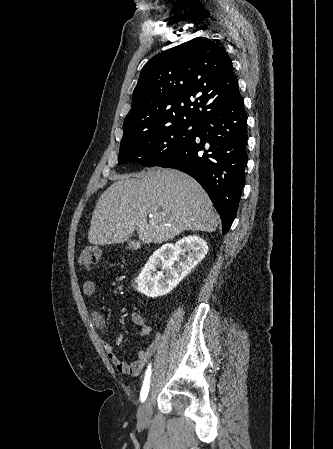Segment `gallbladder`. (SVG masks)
Masks as SVG:
<instances>
[{"label": "gallbladder", "mask_w": 333, "mask_h": 449, "mask_svg": "<svg viewBox=\"0 0 333 449\" xmlns=\"http://www.w3.org/2000/svg\"><path fill=\"white\" fill-rule=\"evenodd\" d=\"M127 248L136 250L139 248V243L137 241H128Z\"/></svg>", "instance_id": "gallbladder-1"}]
</instances>
